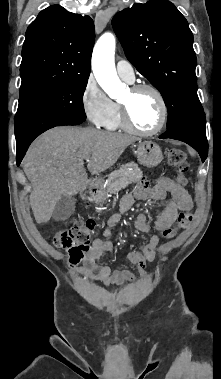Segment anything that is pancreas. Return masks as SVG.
Wrapping results in <instances>:
<instances>
[{"label":"pancreas","instance_id":"1","mask_svg":"<svg viewBox=\"0 0 221 379\" xmlns=\"http://www.w3.org/2000/svg\"><path fill=\"white\" fill-rule=\"evenodd\" d=\"M133 168L134 171H129ZM142 178V171L134 162H129L108 175L106 189L109 193H114L128 185L139 181Z\"/></svg>","mask_w":221,"mask_h":379}]
</instances>
